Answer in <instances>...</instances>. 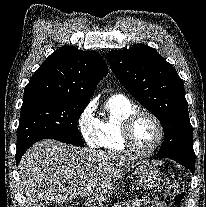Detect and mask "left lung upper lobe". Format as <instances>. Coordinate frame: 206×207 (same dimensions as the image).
Instances as JSON below:
<instances>
[{"mask_svg":"<svg viewBox=\"0 0 206 207\" xmlns=\"http://www.w3.org/2000/svg\"><path fill=\"white\" fill-rule=\"evenodd\" d=\"M107 59L120 83L161 122L158 156L195 163L184 83L174 67L145 45L111 51Z\"/></svg>","mask_w":206,"mask_h":207,"instance_id":"5c2ea615","label":"left lung upper lobe"}]
</instances>
